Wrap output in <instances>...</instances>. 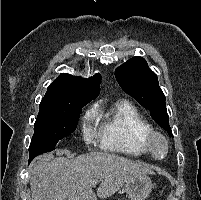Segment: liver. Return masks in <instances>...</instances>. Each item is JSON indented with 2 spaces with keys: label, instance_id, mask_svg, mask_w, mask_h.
Instances as JSON below:
<instances>
[{
  "label": "liver",
  "instance_id": "1",
  "mask_svg": "<svg viewBox=\"0 0 201 200\" xmlns=\"http://www.w3.org/2000/svg\"><path fill=\"white\" fill-rule=\"evenodd\" d=\"M143 164L103 152L73 159L48 155L31 166V200H97L115 194L128 180L152 174ZM100 183L97 193L92 183Z\"/></svg>",
  "mask_w": 201,
  "mask_h": 200
}]
</instances>
